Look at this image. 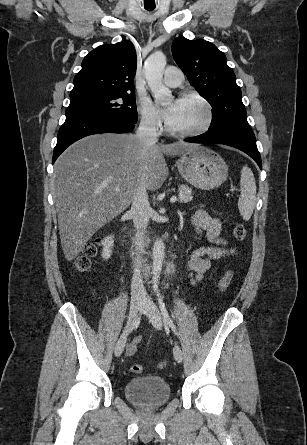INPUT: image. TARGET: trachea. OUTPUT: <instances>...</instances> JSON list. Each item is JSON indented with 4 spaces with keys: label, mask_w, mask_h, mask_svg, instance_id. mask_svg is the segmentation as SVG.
<instances>
[{
    "label": "trachea",
    "mask_w": 307,
    "mask_h": 445,
    "mask_svg": "<svg viewBox=\"0 0 307 445\" xmlns=\"http://www.w3.org/2000/svg\"><path fill=\"white\" fill-rule=\"evenodd\" d=\"M146 10L152 11V10H154V8H146Z\"/></svg>",
    "instance_id": "3493384b"
}]
</instances>
